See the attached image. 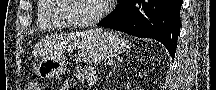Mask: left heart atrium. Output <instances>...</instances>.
<instances>
[{
    "label": "left heart atrium",
    "instance_id": "1",
    "mask_svg": "<svg viewBox=\"0 0 216 90\" xmlns=\"http://www.w3.org/2000/svg\"><path fill=\"white\" fill-rule=\"evenodd\" d=\"M103 3H110L111 0H102Z\"/></svg>",
    "mask_w": 216,
    "mask_h": 90
}]
</instances>
